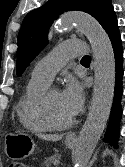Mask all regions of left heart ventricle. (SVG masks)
I'll return each instance as SVG.
<instances>
[{
	"label": "left heart ventricle",
	"instance_id": "b2bd125f",
	"mask_svg": "<svg viewBox=\"0 0 125 167\" xmlns=\"http://www.w3.org/2000/svg\"><path fill=\"white\" fill-rule=\"evenodd\" d=\"M49 108L50 113L56 122L62 123L72 117L64 107L60 97V92L57 90L51 92L49 96Z\"/></svg>",
	"mask_w": 125,
	"mask_h": 167
}]
</instances>
